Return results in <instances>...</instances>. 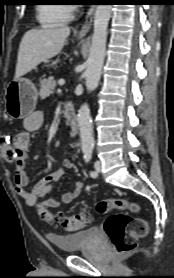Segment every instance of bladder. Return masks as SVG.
<instances>
[{
  "mask_svg": "<svg viewBox=\"0 0 174 278\" xmlns=\"http://www.w3.org/2000/svg\"><path fill=\"white\" fill-rule=\"evenodd\" d=\"M99 238L95 227L80 230L68 235H51L50 241L63 252H75L94 243Z\"/></svg>",
  "mask_w": 174,
  "mask_h": 278,
  "instance_id": "31cf9c89",
  "label": "bladder"
}]
</instances>
